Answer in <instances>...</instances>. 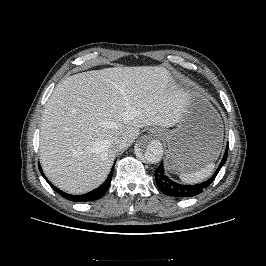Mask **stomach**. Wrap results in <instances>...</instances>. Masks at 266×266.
Instances as JSON below:
<instances>
[{
	"label": "stomach",
	"mask_w": 266,
	"mask_h": 266,
	"mask_svg": "<svg viewBox=\"0 0 266 266\" xmlns=\"http://www.w3.org/2000/svg\"><path fill=\"white\" fill-rule=\"evenodd\" d=\"M184 93L187 102L177 128L151 130L162 133L168 147L166 166L174 173L197 171L214 162L223 144V125L214 107L196 86H186Z\"/></svg>",
	"instance_id": "stomach-1"
}]
</instances>
